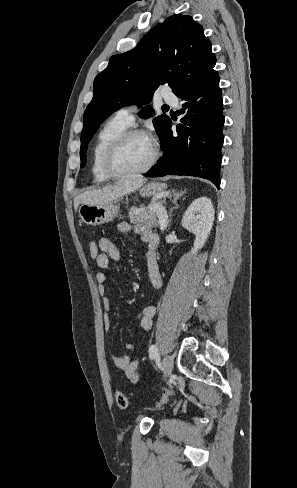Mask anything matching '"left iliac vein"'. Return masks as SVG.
Wrapping results in <instances>:
<instances>
[{"label":"left iliac vein","mask_w":297,"mask_h":488,"mask_svg":"<svg viewBox=\"0 0 297 488\" xmlns=\"http://www.w3.org/2000/svg\"><path fill=\"white\" fill-rule=\"evenodd\" d=\"M163 373H164V378H167L173 369V359L169 355H165L163 358Z\"/></svg>","instance_id":"4c4485c4"}]
</instances>
